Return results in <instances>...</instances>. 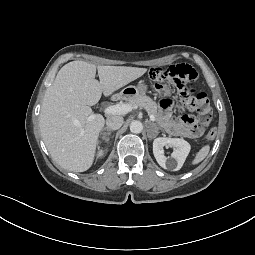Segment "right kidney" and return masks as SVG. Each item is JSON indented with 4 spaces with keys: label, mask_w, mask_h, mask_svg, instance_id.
Returning <instances> with one entry per match:
<instances>
[{
    "label": "right kidney",
    "mask_w": 255,
    "mask_h": 255,
    "mask_svg": "<svg viewBox=\"0 0 255 255\" xmlns=\"http://www.w3.org/2000/svg\"><path fill=\"white\" fill-rule=\"evenodd\" d=\"M102 155H103V151L101 150V151L98 152V156L97 157H101Z\"/></svg>",
    "instance_id": "obj_1"
}]
</instances>
